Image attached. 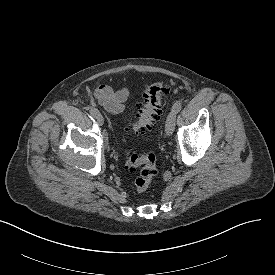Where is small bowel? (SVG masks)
Segmentation results:
<instances>
[{"mask_svg": "<svg viewBox=\"0 0 275 275\" xmlns=\"http://www.w3.org/2000/svg\"><path fill=\"white\" fill-rule=\"evenodd\" d=\"M129 97V90L121 88L117 91L108 84H100L91 94V98L106 111L114 114L123 112L126 109V102Z\"/></svg>", "mask_w": 275, "mask_h": 275, "instance_id": "small-bowel-1", "label": "small bowel"}]
</instances>
